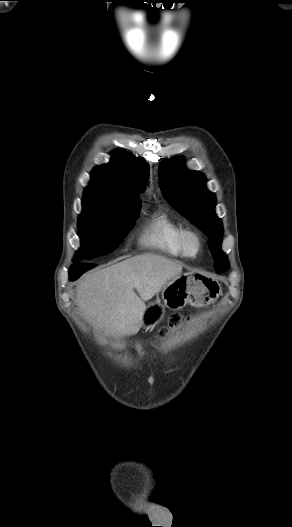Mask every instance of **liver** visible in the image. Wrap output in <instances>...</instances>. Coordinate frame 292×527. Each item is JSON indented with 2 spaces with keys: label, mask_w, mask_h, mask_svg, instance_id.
Here are the masks:
<instances>
[{
  "label": "liver",
  "mask_w": 292,
  "mask_h": 527,
  "mask_svg": "<svg viewBox=\"0 0 292 527\" xmlns=\"http://www.w3.org/2000/svg\"><path fill=\"white\" fill-rule=\"evenodd\" d=\"M182 268L180 262L151 253L127 258L79 281L77 305L85 319L101 330L135 335L143 325L145 301L178 278Z\"/></svg>",
  "instance_id": "1"
}]
</instances>
